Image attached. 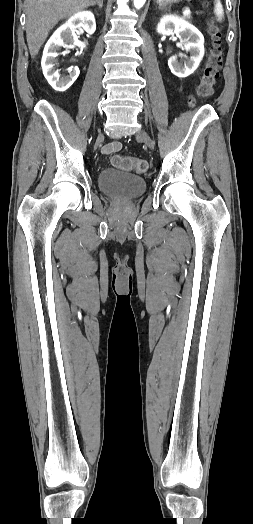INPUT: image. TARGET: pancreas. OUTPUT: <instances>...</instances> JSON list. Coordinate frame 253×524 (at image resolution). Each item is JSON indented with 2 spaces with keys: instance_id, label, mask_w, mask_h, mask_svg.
Listing matches in <instances>:
<instances>
[{
  "instance_id": "obj_1",
  "label": "pancreas",
  "mask_w": 253,
  "mask_h": 524,
  "mask_svg": "<svg viewBox=\"0 0 253 524\" xmlns=\"http://www.w3.org/2000/svg\"><path fill=\"white\" fill-rule=\"evenodd\" d=\"M186 18H187V19H190V16H187Z\"/></svg>"
}]
</instances>
